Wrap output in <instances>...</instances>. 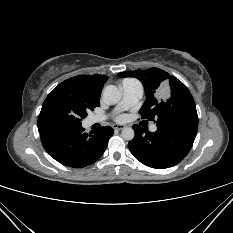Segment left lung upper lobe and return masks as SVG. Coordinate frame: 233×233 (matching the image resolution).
<instances>
[{
	"mask_svg": "<svg viewBox=\"0 0 233 233\" xmlns=\"http://www.w3.org/2000/svg\"><path fill=\"white\" fill-rule=\"evenodd\" d=\"M118 75L122 78L135 77L145 87L147 98L139 111L142 119L157 118L158 128H197L194 99L188 88L176 77L158 68L124 71ZM165 92H168V98L160 99L159 95Z\"/></svg>",
	"mask_w": 233,
	"mask_h": 233,
	"instance_id": "obj_1",
	"label": "left lung upper lobe"
}]
</instances>
